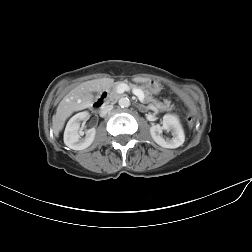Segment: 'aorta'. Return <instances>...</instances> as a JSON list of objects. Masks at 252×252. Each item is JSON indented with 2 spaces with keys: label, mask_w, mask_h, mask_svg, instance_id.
Here are the masks:
<instances>
[{
  "label": "aorta",
  "mask_w": 252,
  "mask_h": 252,
  "mask_svg": "<svg viewBox=\"0 0 252 252\" xmlns=\"http://www.w3.org/2000/svg\"><path fill=\"white\" fill-rule=\"evenodd\" d=\"M118 104L122 108H127L130 106V100L127 97L120 98Z\"/></svg>",
  "instance_id": "obj_1"
}]
</instances>
